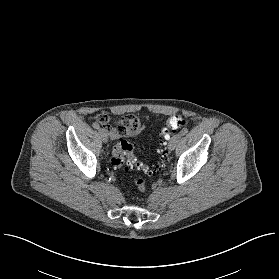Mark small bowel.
Masks as SVG:
<instances>
[{
	"mask_svg": "<svg viewBox=\"0 0 279 279\" xmlns=\"http://www.w3.org/2000/svg\"><path fill=\"white\" fill-rule=\"evenodd\" d=\"M94 119L106 128L109 136L113 140L133 134H140L142 131L141 124L132 114H127L114 124H111L109 116L105 113L96 114Z\"/></svg>",
	"mask_w": 279,
	"mask_h": 279,
	"instance_id": "small-bowel-1",
	"label": "small bowel"
}]
</instances>
